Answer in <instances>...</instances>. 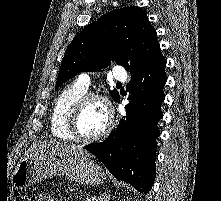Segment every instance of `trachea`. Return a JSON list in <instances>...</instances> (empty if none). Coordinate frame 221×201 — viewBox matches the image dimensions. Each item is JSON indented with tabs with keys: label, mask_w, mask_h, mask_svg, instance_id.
I'll list each match as a JSON object with an SVG mask.
<instances>
[{
	"label": "trachea",
	"mask_w": 221,
	"mask_h": 201,
	"mask_svg": "<svg viewBox=\"0 0 221 201\" xmlns=\"http://www.w3.org/2000/svg\"><path fill=\"white\" fill-rule=\"evenodd\" d=\"M117 85H121V83H120V82H117Z\"/></svg>",
	"instance_id": "trachea-1"
}]
</instances>
